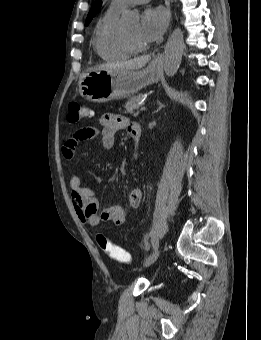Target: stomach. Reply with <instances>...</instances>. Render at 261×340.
<instances>
[{
    "label": "stomach",
    "mask_w": 261,
    "mask_h": 340,
    "mask_svg": "<svg viewBox=\"0 0 261 340\" xmlns=\"http://www.w3.org/2000/svg\"><path fill=\"white\" fill-rule=\"evenodd\" d=\"M162 63L152 61L145 69L91 70L79 80L80 95L92 102H107L128 97L160 79Z\"/></svg>",
    "instance_id": "1"
}]
</instances>
